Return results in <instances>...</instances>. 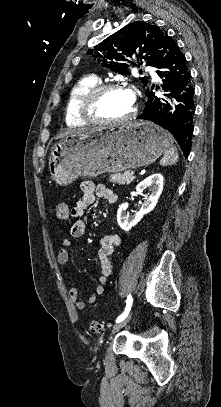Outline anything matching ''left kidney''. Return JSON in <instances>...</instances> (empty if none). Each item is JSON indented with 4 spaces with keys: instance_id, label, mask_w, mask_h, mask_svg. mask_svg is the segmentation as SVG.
Returning a JSON list of instances; mask_svg holds the SVG:
<instances>
[{
    "instance_id": "5707ae66",
    "label": "left kidney",
    "mask_w": 221,
    "mask_h": 407,
    "mask_svg": "<svg viewBox=\"0 0 221 407\" xmlns=\"http://www.w3.org/2000/svg\"><path fill=\"white\" fill-rule=\"evenodd\" d=\"M146 188L151 191V194L142 205L141 209L134 215H129L127 212L128 205L126 203L119 206L117 211V221L120 228L124 231H129L140 222L144 215L148 214L155 208L163 191V176L156 173L147 177L136 186V194H142Z\"/></svg>"
}]
</instances>
